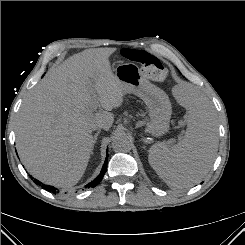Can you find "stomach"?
<instances>
[{"label":"stomach","mask_w":245,"mask_h":245,"mask_svg":"<svg viewBox=\"0 0 245 245\" xmlns=\"http://www.w3.org/2000/svg\"><path fill=\"white\" fill-rule=\"evenodd\" d=\"M114 71L123 86L124 93L137 95L147 105L150 132L157 137L166 134L172 114L168 95L144 78L139 67L133 63L119 64Z\"/></svg>","instance_id":"0dacf381"}]
</instances>
